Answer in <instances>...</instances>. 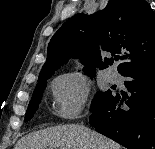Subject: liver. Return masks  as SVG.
I'll use <instances>...</instances> for the list:
<instances>
[{
  "mask_svg": "<svg viewBox=\"0 0 155 149\" xmlns=\"http://www.w3.org/2000/svg\"><path fill=\"white\" fill-rule=\"evenodd\" d=\"M14 149H121V146L87 127L69 124L29 133Z\"/></svg>",
  "mask_w": 155,
  "mask_h": 149,
  "instance_id": "obj_1",
  "label": "liver"
}]
</instances>
